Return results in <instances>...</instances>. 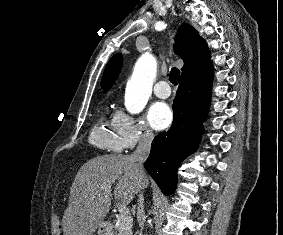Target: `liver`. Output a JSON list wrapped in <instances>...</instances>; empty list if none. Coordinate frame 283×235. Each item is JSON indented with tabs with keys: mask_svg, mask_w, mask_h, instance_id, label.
I'll use <instances>...</instances> for the list:
<instances>
[{
	"mask_svg": "<svg viewBox=\"0 0 283 235\" xmlns=\"http://www.w3.org/2000/svg\"><path fill=\"white\" fill-rule=\"evenodd\" d=\"M115 181V199L128 205L149 179L128 155L105 154L83 164L70 188L62 219L64 235H93L110 210Z\"/></svg>",
	"mask_w": 283,
	"mask_h": 235,
	"instance_id": "6515ba94",
	"label": "liver"
}]
</instances>
